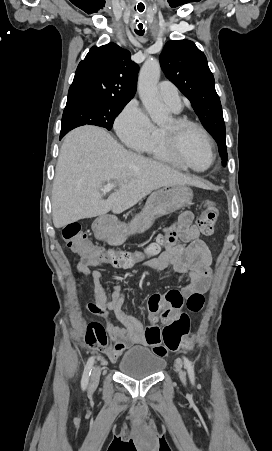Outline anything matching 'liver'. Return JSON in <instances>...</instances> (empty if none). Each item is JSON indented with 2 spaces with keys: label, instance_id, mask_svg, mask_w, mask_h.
<instances>
[{
  "label": "liver",
  "instance_id": "liver-1",
  "mask_svg": "<svg viewBox=\"0 0 272 451\" xmlns=\"http://www.w3.org/2000/svg\"><path fill=\"white\" fill-rule=\"evenodd\" d=\"M114 180L119 190L102 200L100 188ZM197 186L202 182L128 152L104 128L81 126L69 132L61 146L52 188L55 227L83 218L122 214L163 186Z\"/></svg>",
  "mask_w": 272,
  "mask_h": 451
}]
</instances>
